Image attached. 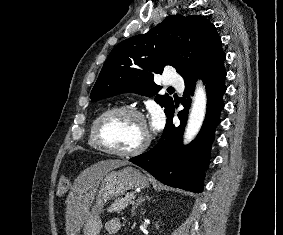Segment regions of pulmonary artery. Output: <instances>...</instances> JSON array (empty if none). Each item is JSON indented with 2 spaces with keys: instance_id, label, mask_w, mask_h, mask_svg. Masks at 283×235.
Listing matches in <instances>:
<instances>
[{
  "instance_id": "pulmonary-artery-1",
  "label": "pulmonary artery",
  "mask_w": 283,
  "mask_h": 235,
  "mask_svg": "<svg viewBox=\"0 0 283 235\" xmlns=\"http://www.w3.org/2000/svg\"><path fill=\"white\" fill-rule=\"evenodd\" d=\"M166 84L176 88H183V80L176 75L168 77L166 80Z\"/></svg>"
}]
</instances>
